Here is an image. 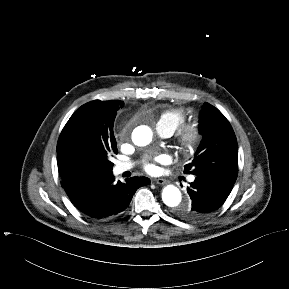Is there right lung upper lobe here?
Masks as SVG:
<instances>
[{
	"label": "right lung upper lobe",
	"mask_w": 289,
	"mask_h": 289,
	"mask_svg": "<svg viewBox=\"0 0 289 289\" xmlns=\"http://www.w3.org/2000/svg\"><path fill=\"white\" fill-rule=\"evenodd\" d=\"M57 164H58L59 173L62 179V186L64 187L71 201L77 200L83 188L86 186V184L90 183L92 180L104 178V177H108L112 175V172L104 173L98 176L83 175L67 167L62 162L59 156L57 157Z\"/></svg>",
	"instance_id": "1"
}]
</instances>
